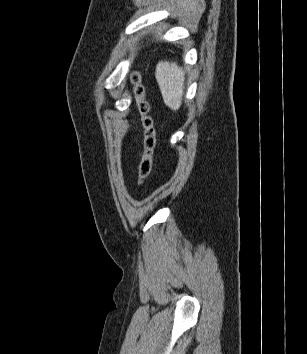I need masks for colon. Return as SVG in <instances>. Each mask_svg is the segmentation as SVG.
<instances>
[{
    "instance_id": "colon-1",
    "label": "colon",
    "mask_w": 307,
    "mask_h": 354,
    "mask_svg": "<svg viewBox=\"0 0 307 354\" xmlns=\"http://www.w3.org/2000/svg\"><path fill=\"white\" fill-rule=\"evenodd\" d=\"M130 79L133 85V94L137 102V109L141 116V123L144 129V152L138 167V183L142 185L153 170L154 154L157 146L156 128L154 119L150 113L151 105L147 98L146 88L143 84L141 73L139 71H133Z\"/></svg>"
}]
</instances>
